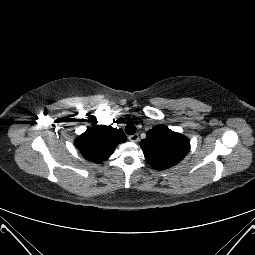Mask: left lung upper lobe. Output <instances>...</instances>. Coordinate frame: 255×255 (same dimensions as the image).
Instances as JSON below:
<instances>
[{"mask_svg": "<svg viewBox=\"0 0 255 255\" xmlns=\"http://www.w3.org/2000/svg\"><path fill=\"white\" fill-rule=\"evenodd\" d=\"M140 146L149 165L156 170H164L185 157L190 150V141L164 125H157L147 132Z\"/></svg>", "mask_w": 255, "mask_h": 255, "instance_id": "left-lung-upper-lobe-1", "label": "left lung upper lobe"}]
</instances>
